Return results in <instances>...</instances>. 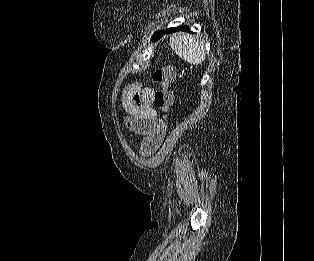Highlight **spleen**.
<instances>
[{
    "instance_id": "obj_1",
    "label": "spleen",
    "mask_w": 314,
    "mask_h": 261,
    "mask_svg": "<svg viewBox=\"0 0 314 261\" xmlns=\"http://www.w3.org/2000/svg\"><path fill=\"white\" fill-rule=\"evenodd\" d=\"M170 45L181 59L190 64L199 65L203 63L206 58L204 44L193 36H173L170 38Z\"/></svg>"
}]
</instances>
